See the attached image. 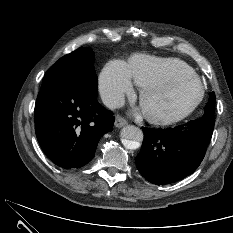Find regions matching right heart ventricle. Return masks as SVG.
I'll list each match as a JSON object with an SVG mask.
<instances>
[{"label":"right heart ventricle","instance_id":"right-heart-ventricle-1","mask_svg":"<svg viewBox=\"0 0 233 233\" xmlns=\"http://www.w3.org/2000/svg\"><path fill=\"white\" fill-rule=\"evenodd\" d=\"M127 68L132 81L139 87L164 78L194 73L193 68L182 60L145 54L133 55Z\"/></svg>","mask_w":233,"mask_h":233}]
</instances>
